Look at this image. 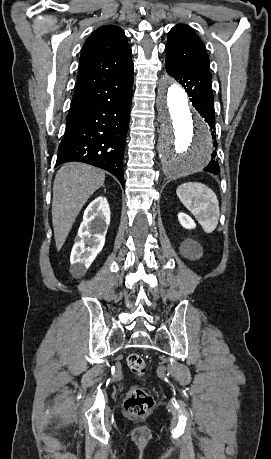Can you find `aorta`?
<instances>
[{"mask_svg":"<svg viewBox=\"0 0 271 459\" xmlns=\"http://www.w3.org/2000/svg\"><path fill=\"white\" fill-rule=\"evenodd\" d=\"M185 90L165 76L158 91L161 130L158 153L165 175L186 176L206 166L212 153V140L204 123L190 111Z\"/></svg>","mask_w":271,"mask_h":459,"instance_id":"1","label":"aorta"}]
</instances>
